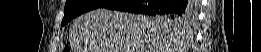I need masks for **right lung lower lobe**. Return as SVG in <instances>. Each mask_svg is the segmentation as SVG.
Returning <instances> with one entry per match:
<instances>
[{
    "instance_id": "obj_1",
    "label": "right lung lower lobe",
    "mask_w": 261,
    "mask_h": 52,
    "mask_svg": "<svg viewBox=\"0 0 261 52\" xmlns=\"http://www.w3.org/2000/svg\"><path fill=\"white\" fill-rule=\"evenodd\" d=\"M102 8L152 16H185L195 9L194 4L183 0H111Z\"/></svg>"
}]
</instances>
